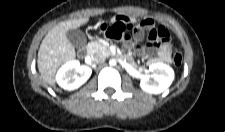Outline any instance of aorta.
Wrapping results in <instances>:
<instances>
[{
    "label": "aorta",
    "mask_w": 225,
    "mask_h": 132,
    "mask_svg": "<svg viewBox=\"0 0 225 132\" xmlns=\"http://www.w3.org/2000/svg\"><path fill=\"white\" fill-rule=\"evenodd\" d=\"M109 64H110L111 66L116 65V60H114V59L110 60V61H109Z\"/></svg>",
    "instance_id": "aorta-1"
}]
</instances>
